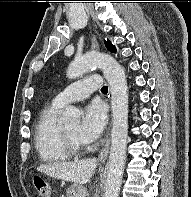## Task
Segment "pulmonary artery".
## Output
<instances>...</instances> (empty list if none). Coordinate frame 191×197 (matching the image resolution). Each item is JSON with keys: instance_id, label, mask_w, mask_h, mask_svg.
Returning a JSON list of instances; mask_svg holds the SVG:
<instances>
[{"instance_id": "e3ab8cb5", "label": "pulmonary artery", "mask_w": 191, "mask_h": 197, "mask_svg": "<svg viewBox=\"0 0 191 197\" xmlns=\"http://www.w3.org/2000/svg\"><path fill=\"white\" fill-rule=\"evenodd\" d=\"M100 87L101 79L98 75L88 76L67 86L54 97L53 103L60 107H64L69 103L87 98L92 92Z\"/></svg>"}]
</instances>
